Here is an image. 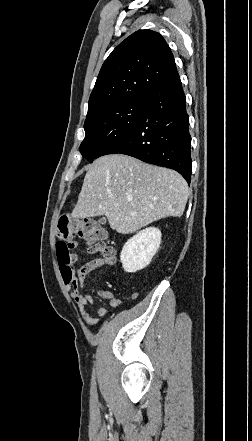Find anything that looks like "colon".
<instances>
[{
  "label": "colon",
  "mask_w": 252,
  "mask_h": 441,
  "mask_svg": "<svg viewBox=\"0 0 252 441\" xmlns=\"http://www.w3.org/2000/svg\"><path fill=\"white\" fill-rule=\"evenodd\" d=\"M79 235L89 245L91 252L101 251L105 245V232L97 223L91 219L79 220L69 214H63L58 222L56 243L57 260L60 265L63 279L70 281L75 277L72 264L74 256L71 254L72 242H69L73 235Z\"/></svg>",
  "instance_id": "5ec220e1"
}]
</instances>
